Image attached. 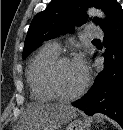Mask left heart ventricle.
<instances>
[{
    "label": "left heart ventricle",
    "instance_id": "b2bd125f",
    "mask_svg": "<svg viewBox=\"0 0 123 130\" xmlns=\"http://www.w3.org/2000/svg\"><path fill=\"white\" fill-rule=\"evenodd\" d=\"M84 81L85 76L75 68L71 60L61 63L58 69V82L65 93L77 91Z\"/></svg>",
    "mask_w": 123,
    "mask_h": 130
}]
</instances>
